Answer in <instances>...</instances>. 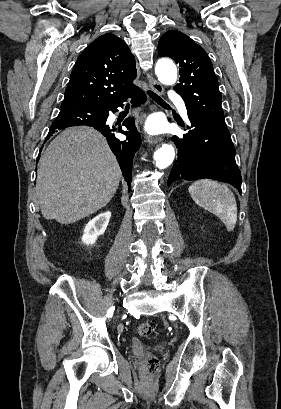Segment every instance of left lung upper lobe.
I'll return each mask as SVG.
<instances>
[{"instance_id":"left-lung-upper-lobe-1","label":"left lung upper lobe","mask_w":281,"mask_h":409,"mask_svg":"<svg viewBox=\"0 0 281 409\" xmlns=\"http://www.w3.org/2000/svg\"><path fill=\"white\" fill-rule=\"evenodd\" d=\"M158 53L179 64L180 83L174 89L182 96L187 110L226 125L218 80L207 53L177 30L162 35Z\"/></svg>"}]
</instances>
